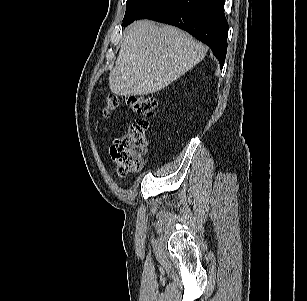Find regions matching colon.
<instances>
[{
    "instance_id": "obj_1",
    "label": "colon",
    "mask_w": 307,
    "mask_h": 301,
    "mask_svg": "<svg viewBox=\"0 0 307 301\" xmlns=\"http://www.w3.org/2000/svg\"><path fill=\"white\" fill-rule=\"evenodd\" d=\"M127 106L140 116L134 123L117 136L111 146V156L120 176L137 174L143 167L147 151L148 118L153 114L157 101L149 95H129L125 97ZM120 104L118 95L107 98L105 112L109 114Z\"/></svg>"
}]
</instances>
